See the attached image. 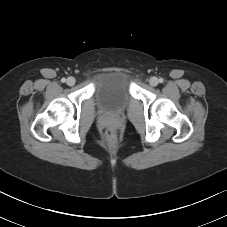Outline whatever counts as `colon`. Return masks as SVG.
<instances>
[{
    "instance_id": "obj_1",
    "label": "colon",
    "mask_w": 227,
    "mask_h": 227,
    "mask_svg": "<svg viewBox=\"0 0 227 227\" xmlns=\"http://www.w3.org/2000/svg\"><path fill=\"white\" fill-rule=\"evenodd\" d=\"M105 135H106L108 141H109L111 144L114 143V141H115V131H114L113 128L107 127V128L105 129Z\"/></svg>"
}]
</instances>
